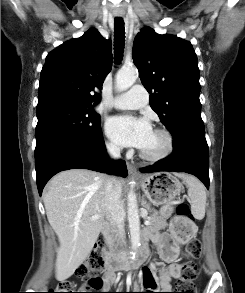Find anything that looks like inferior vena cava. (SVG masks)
I'll return each mask as SVG.
<instances>
[{
    "mask_svg": "<svg viewBox=\"0 0 245 293\" xmlns=\"http://www.w3.org/2000/svg\"><path fill=\"white\" fill-rule=\"evenodd\" d=\"M108 154L113 159L120 158V148L115 145L107 146ZM122 187L114 178H108L105 184V207L106 215L120 240L124 243V210L121 202Z\"/></svg>",
    "mask_w": 245,
    "mask_h": 293,
    "instance_id": "obj_1",
    "label": "inferior vena cava"
}]
</instances>
